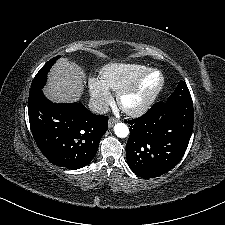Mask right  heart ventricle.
<instances>
[{
  "label": "right heart ventricle",
  "mask_w": 225,
  "mask_h": 225,
  "mask_svg": "<svg viewBox=\"0 0 225 225\" xmlns=\"http://www.w3.org/2000/svg\"><path fill=\"white\" fill-rule=\"evenodd\" d=\"M146 69L145 66L135 63H110L102 67L100 74L104 84L119 93Z\"/></svg>",
  "instance_id": "right-heart-ventricle-1"
}]
</instances>
